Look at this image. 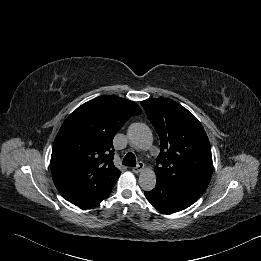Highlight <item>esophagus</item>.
<instances>
[{"mask_svg":"<svg viewBox=\"0 0 261 261\" xmlns=\"http://www.w3.org/2000/svg\"><path fill=\"white\" fill-rule=\"evenodd\" d=\"M144 169V163L139 162L136 167L132 168V171L136 174L140 173Z\"/></svg>","mask_w":261,"mask_h":261,"instance_id":"1","label":"esophagus"}]
</instances>
